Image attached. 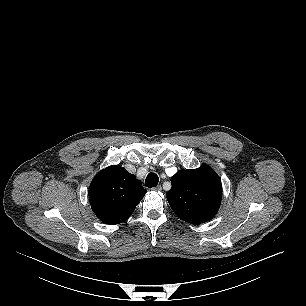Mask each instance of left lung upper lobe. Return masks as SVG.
I'll return each mask as SVG.
<instances>
[{
  "instance_id": "5c2ea615",
  "label": "left lung upper lobe",
  "mask_w": 306,
  "mask_h": 306,
  "mask_svg": "<svg viewBox=\"0 0 306 306\" xmlns=\"http://www.w3.org/2000/svg\"><path fill=\"white\" fill-rule=\"evenodd\" d=\"M172 188L166 194L174 213L182 220L200 224L218 211L222 198L219 176L207 165L181 170L171 177Z\"/></svg>"
}]
</instances>
